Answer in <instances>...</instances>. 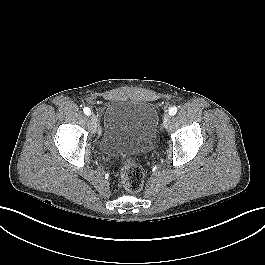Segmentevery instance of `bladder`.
Wrapping results in <instances>:
<instances>
[{"mask_svg": "<svg viewBox=\"0 0 265 265\" xmlns=\"http://www.w3.org/2000/svg\"><path fill=\"white\" fill-rule=\"evenodd\" d=\"M159 114L146 101L110 100L106 103L100 149L122 160L150 152L155 144Z\"/></svg>", "mask_w": 265, "mask_h": 265, "instance_id": "31cf9c89", "label": "bladder"}]
</instances>
